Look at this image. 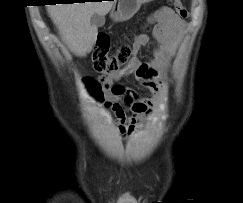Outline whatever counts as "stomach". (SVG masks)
Here are the masks:
<instances>
[{"label":"stomach","mask_w":243,"mask_h":203,"mask_svg":"<svg viewBox=\"0 0 243 203\" xmlns=\"http://www.w3.org/2000/svg\"><path fill=\"white\" fill-rule=\"evenodd\" d=\"M151 1L153 0H118L117 6L111 12V18L114 21L129 20L140 9L143 3Z\"/></svg>","instance_id":"obj_1"}]
</instances>
